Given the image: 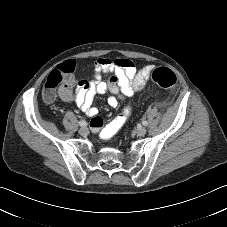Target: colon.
<instances>
[{
    "label": "colon",
    "mask_w": 227,
    "mask_h": 227,
    "mask_svg": "<svg viewBox=\"0 0 227 227\" xmlns=\"http://www.w3.org/2000/svg\"><path fill=\"white\" fill-rule=\"evenodd\" d=\"M76 66L73 62L69 61L62 68L58 67L51 71L47 77L46 84L43 90V96L47 101H52L56 96V88L60 84L70 83L75 74ZM152 81L155 85L161 88H172L177 82V77L174 71L167 67H160L152 72ZM130 117V109L121 113L114 120L108 130L101 136L103 138H110L115 135L128 121ZM100 122L99 118H94L91 122L92 127H97Z\"/></svg>",
    "instance_id": "1"
}]
</instances>
